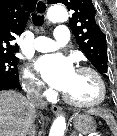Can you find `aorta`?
Segmentation results:
<instances>
[{
	"mask_svg": "<svg viewBox=\"0 0 117 136\" xmlns=\"http://www.w3.org/2000/svg\"><path fill=\"white\" fill-rule=\"evenodd\" d=\"M48 20L52 23L64 22L68 19V12L62 5H54L47 13ZM66 122L63 116L57 117L50 129L49 136H64Z\"/></svg>",
	"mask_w": 117,
	"mask_h": 136,
	"instance_id": "obj_1",
	"label": "aorta"
}]
</instances>
